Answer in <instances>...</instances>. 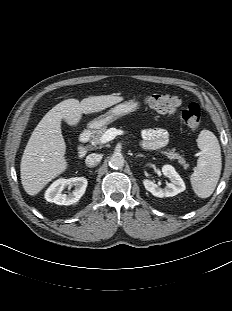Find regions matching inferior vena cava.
<instances>
[{
	"label": "inferior vena cava",
	"instance_id": "1",
	"mask_svg": "<svg viewBox=\"0 0 232 311\" xmlns=\"http://www.w3.org/2000/svg\"><path fill=\"white\" fill-rule=\"evenodd\" d=\"M101 159H102V156L100 154H95V153L90 154L85 159L86 166L90 168L95 167L99 164Z\"/></svg>",
	"mask_w": 232,
	"mask_h": 311
}]
</instances>
